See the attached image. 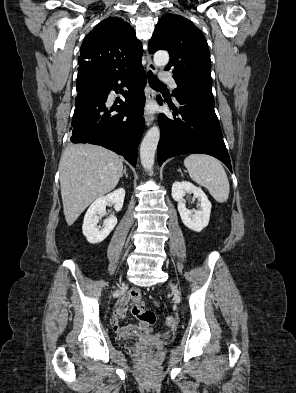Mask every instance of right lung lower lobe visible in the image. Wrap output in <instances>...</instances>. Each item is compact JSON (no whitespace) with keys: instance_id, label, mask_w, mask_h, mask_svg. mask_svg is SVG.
<instances>
[{"instance_id":"1","label":"right lung lower lobe","mask_w":296,"mask_h":393,"mask_svg":"<svg viewBox=\"0 0 296 393\" xmlns=\"http://www.w3.org/2000/svg\"><path fill=\"white\" fill-rule=\"evenodd\" d=\"M121 81V84H118ZM146 74L137 69L131 73L107 77L89 68L78 69L77 96L72 118L73 143L102 145L122 155L134 167L137 147L144 130L143 106ZM128 87L125 101L109 107L107 97L111 90ZM116 111L118 114H113Z\"/></svg>"}]
</instances>
